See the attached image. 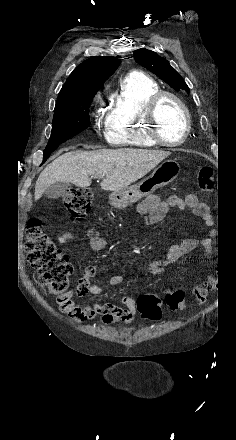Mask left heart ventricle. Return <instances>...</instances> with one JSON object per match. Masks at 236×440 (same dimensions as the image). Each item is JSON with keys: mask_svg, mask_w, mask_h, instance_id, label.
Segmentation results:
<instances>
[{"mask_svg": "<svg viewBox=\"0 0 236 440\" xmlns=\"http://www.w3.org/2000/svg\"><path fill=\"white\" fill-rule=\"evenodd\" d=\"M159 129L167 141H176L183 135L185 118L180 106L172 99L165 98L157 111Z\"/></svg>", "mask_w": 236, "mask_h": 440, "instance_id": "left-heart-ventricle-1", "label": "left heart ventricle"}]
</instances>
